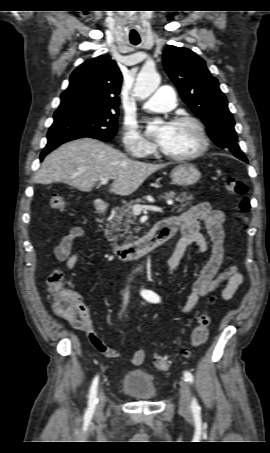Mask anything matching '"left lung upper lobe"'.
Returning <instances> with one entry per match:
<instances>
[{"label": "left lung upper lobe", "mask_w": 270, "mask_h": 453, "mask_svg": "<svg viewBox=\"0 0 270 453\" xmlns=\"http://www.w3.org/2000/svg\"><path fill=\"white\" fill-rule=\"evenodd\" d=\"M163 62L182 99L202 119L211 139L236 157L244 155L237 144L235 122L227 99L205 61L187 48L168 46L163 52Z\"/></svg>", "instance_id": "5c2ea615"}]
</instances>
